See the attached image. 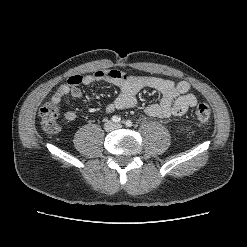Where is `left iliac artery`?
Wrapping results in <instances>:
<instances>
[{
	"instance_id": "obj_1",
	"label": "left iliac artery",
	"mask_w": 247,
	"mask_h": 247,
	"mask_svg": "<svg viewBox=\"0 0 247 247\" xmlns=\"http://www.w3.org/2000/svg\"><path fill=\"white\" fill-rule=\"evenodd\" d=\"M125 125H126L127 127H131V126H132V122H131L130 120H127V121L125 122Z\"/></svg>"
}]
</instances>
